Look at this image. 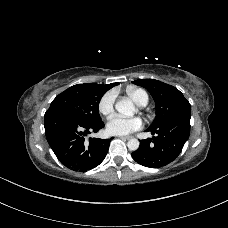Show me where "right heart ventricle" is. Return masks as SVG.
I'll list each match as a JSON object with an SVG mask.
<instances>
[{
  "mask_svg": "<svg viewBox=\"0 0 228 228\" xmlns=\"http://www.w3.org/2000/svg\"><path fill=\"white\" fill-rule=\"evenodd\" d=\"M128 96L139 106H145L149 101L147 92L141 88L127 87Z\"/></svg>",
  "mask_w": 228,
  "mask_h": 228,
  "instance_id": "1",
  "label": "right heart ventricle"
}]
</instances>
